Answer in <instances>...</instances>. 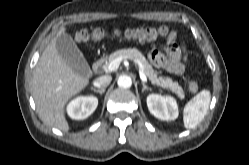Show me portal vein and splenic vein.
Segmentation results:
<instances>
[{"label":"portal vein and splenic vein","mask_w":249,"mask_h":165,"mask_svg":"<svg viewBox=\"0 0 249 165\" xmlns=\"http://www.w3.org/2000/svg\"><path fill=\"white\" fill-rule=\"evenodd\" d=\"M122 59H123L122 57H119V58H116L114 61L110 62L109 65L105 68V71L112 72V71L117 70ZM137 64L139 67V75H140L141 80L143 82H147V77L144 73L143 66L139 62Z\"/></svg>","instance_id":"obj_1"}]
</instances>
